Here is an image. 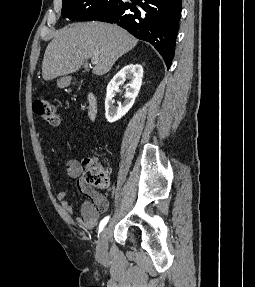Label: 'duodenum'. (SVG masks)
<instances>
[{
	"label": "duodenum",
	"mask_w": 255,
	"mask_h": 287,
	"mask_svg": "<svg viewBox=\"0 0 255 287\" xmlns=\"http://www.w3.org/2000/svg\"><path fill=\"white\" fill-rule=\"evenodd\" d=\"M99 101L95 93L90 92L87 96V116L91 121H95L98 116Z\"/></svg>",
	"instance_id": "obj_1"
}]
</instances>
